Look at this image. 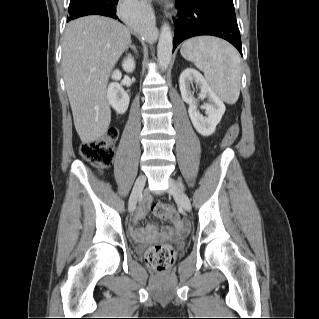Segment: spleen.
Returning <instances> with one entry per match:
<instances>
[{
  "label": "spleen",
  "mask_w": 319,
  "mask_h": 319,
  "mask_svg": "<svg viewBox=\"0 0 319 319\" xmlns=\"http://www.w3.org/2000/svg\"><path fill=\"white\" fill-rule=\"evenodd\" d=\"M180 53L204 72L209 87L222 101L236 103L240 94L241 60L234 47L221 39L202 36L186 40Z\"/></svg>",
  "instance_id": "obj_1"
}]
</instances>
